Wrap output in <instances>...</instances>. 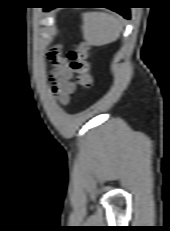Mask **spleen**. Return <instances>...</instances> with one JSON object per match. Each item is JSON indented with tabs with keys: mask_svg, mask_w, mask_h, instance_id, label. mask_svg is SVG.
<instances>
[{
	"mask_svg": "<svg viewBox=\"0 0 170 231\" xmlns=\"http://www.w3.org/2000/svg\"><path fill=\"white\" fill-rule=\"evenodd\" d=\"M122 31V20L103 12L83 16L82 32L89 45L103 46L115 41Z\"/></svg>",
	"mask_w": 170,
	"mask_h": 231,
	"instance_id": "obj_1",
	"label": "spleen"
}]
</instances>
